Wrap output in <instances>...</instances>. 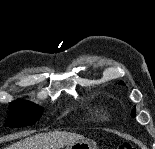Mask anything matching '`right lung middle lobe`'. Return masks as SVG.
<instances>
[{
    "mask_svg": "<svg viewBox=\"0 0 155 149\" xmlns=\"http://www.w3.org/2000/svg\"><path fill=\"white\" fill-rule=\"evenodd\" d=\"M11 116L7 123L9 127L30 126L36 123L42 115L43 108L28 101H15L10 105Z\"/></svg>",
    "mask_w": 155,
    "mask_h": 149,
    "instance_id": "obj_1",
    "label": "right lung middle lobe"
}]
</instances>
